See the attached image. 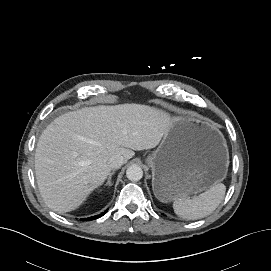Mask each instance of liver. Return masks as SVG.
<instances>
[{
	"mask_svg": "<svg viewBox=\"0 0 271 271\" xmlns=\"http://www.w3.org/2000/svg\"><path fill=\"white\" fill-rule=\"evenodd\" d=\"M164 111L139 104L98 106L68 112L42 132L35 151L38 188L57 213L77 209L111 172L114 155L131 159L155 148L171 125Z\"/></svg>",
	"mask_w": 271,
	"mask_h": 271,
	"instance_id": "1",
	"label": "liver"
}]
</instances>
